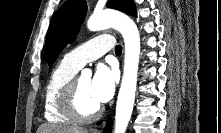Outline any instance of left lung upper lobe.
Segmentation results:
<instances>
[{
    "instance_id": "1",
    "label": "left lung upper lobe",
    "mask_w": 221,
    "mask_h": 133,
    "mask_svg": "<svg viewBox=\"0 0 221 133\" xmlns=\"http://www.w3.org/2000/svg\"><path fill=\"white\" fill-rule=\"evenodd\" d=\"M107 7L137 16L133 0H110ZM86 12L85 0H67L56 12L45 43V60L49 65H52L64 47L76 38Z\"/></svg>"
}]
</instances>
